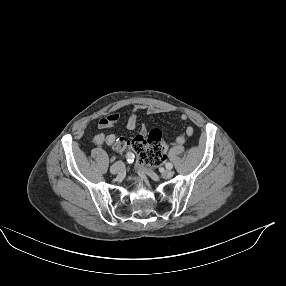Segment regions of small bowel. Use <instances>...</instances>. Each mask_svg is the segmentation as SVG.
Instances as JSON below:
<instances>
[{
  "instance_id": "small-bowel-1",
  "label": "small bowel",
  "mask_w": 286,
  "mask_h": 286,
  "mask_svg": "<svg viewBox=\"0 0 286 286\" xmlns=\"http://www.w3.org/2000/svg\"><path fill=\"white\" fill-rule=\"evenodd\" d=\"M143 110L147 111L150 114H159L166 111V109L155 105H150V106L137 105L133 108L131 114L128 116L126 120V128L128 130H134L136 128L138 122V112ZM179 119L181 121H186L188 119V115L183 113L179 116ZM118 120H119V115L117 113L104 116L98 121V128L101 130L111 128L118 122ZM193 133H194L193 127L187 126L184 133L176 137L175 140L176 145L178 146L183 145L186 141V138L191 137ZM140 134L143 136L147 134L146 125H142ZM116 139L117 137L113 134L98 133L93 137V143L96 145L106 144L108 146H111L114 144ZM163 144L166 150L167 144L165 143V141L163 142Z\"/></svg>"
}]
</instances>
